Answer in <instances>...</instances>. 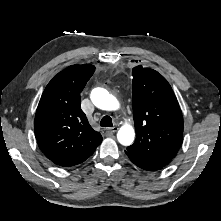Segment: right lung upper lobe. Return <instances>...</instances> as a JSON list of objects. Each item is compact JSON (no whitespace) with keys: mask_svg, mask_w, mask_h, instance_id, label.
<instances>
[{"mask_svg":"<svg viewBox=\"0 0 221 221\" xmlns=\"http://www.w3.org/2000/svg\"><path fill=\"white\" fill-rule=\"evenodd\" d=\"M94 71L90 64L69 66L49 82L41 96L34 121L37 143L59 166L84 162L102 142L80 107V93Z\"/></svg>","mask_w":221,"mask_h":221,"instance_id":"cb5924a9","label":"right lung upper lobe"}]
</instances>
